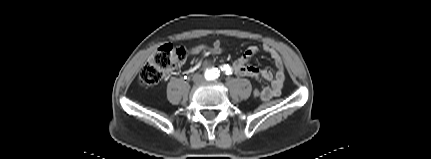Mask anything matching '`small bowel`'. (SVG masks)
<instances>
[{"label": "small bowel", "instance_id": "c3829d8e", "mask_svg": "<svg viewBox=\"0 0 431 159\" xmlns=\"http://www.w3.org/2000/svg\"><path fill=\"white\" fill-rule=\"evenodd\" d=\"M212 48H223L222 42L215 40L211 45L200 44L191 48L190 53L197 55ZM262 49L270 55L276 66V71L273 73L269 69H260L250 64L251 59L258 53L257 46H248L243 54L236 59L232 65H228L231 73L239 76L252 77L258 80H265L270 83L269 86L261 88L260 96H255L263 101H268L281 94L285 81L284 64L279 53L269 44H264Z\"/></svg>", "mask_w": 431, "mask_h": 159}]
</instances>
